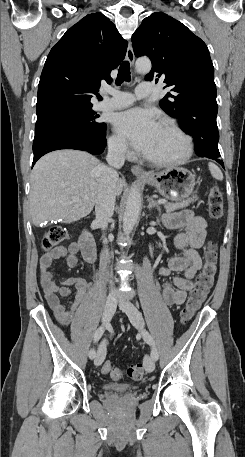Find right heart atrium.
I'll list each match as a JSON object with an SVG mask.
<instances>
[{
  "label": "right heart atrium",
  "instance_id": "obj_1",
  "mask_svg": "<svg viewBox=\"0 0 245 457\" xmlns=\"http://www.w3.org/2000/svg\"><path fill=\"white\" fill-rule=\"evenodd\" d=\"M109 146L111 150L118 155H130L131 153L126 141L118 135L110 137Z\"/></svg>",
  "mask_w": 245,
  "mask_h": 457
}]
</instances>
